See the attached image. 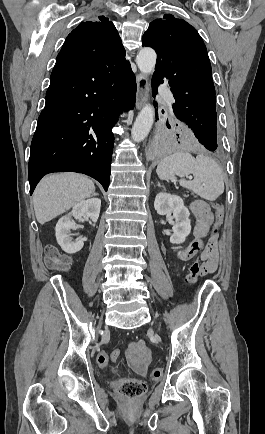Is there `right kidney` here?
Wrapping results in <instances>:
<instances>
[{
    "mask_svg": "<svg viewBox=\"0 0 265 434\" xmlns=\"http://www.w3.org/2000/svg\"><path fill=\"white\" fill-rule=\"evenodd\" d=\"M100 208L101 200H99V198L82 200V202H78V204L74 206L70 214L58 220L55 228V236L59 246H61L66 254H76V252H80L84 246L82 238L73 240V238L69 236L70 230L78 228V226H75L72 218H75V220H88V218H90L92 222H97Z\"/></svg>",
    "mask_w": 265,
    "mask_h": 434,
    "instance_id": "ca27d5eb",
    "label": "right kidney"
}]
</instances>
